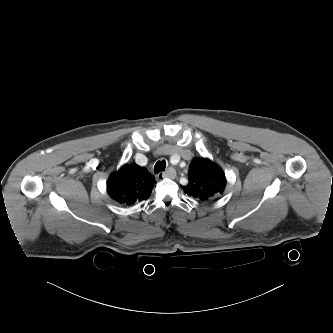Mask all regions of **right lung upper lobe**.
<instances>
[{
	"mask_svg": "<svg viewBox=\"0 0 333 333\" xmlns=\"http://www.w3.org/2000/svg\"><path fill=\"white\" fill-rule=\"evenodd\" d=\"M155 182V177L146 168L135 163L125 164L110 175L107 181V192L113 200L132 205L148 199Z\"/></svg>",
	"mask_w": 333,
	"mask_h": 333,
	"instance_id": "obj_1",
	"label": "right lung upper lobe"
}]
</instances>
